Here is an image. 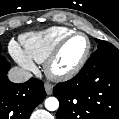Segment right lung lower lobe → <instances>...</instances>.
I'll use <instances>...</instances> for the list:
<instances>
[{"mask_svg":"<svg viewBox=\"0 0 119 119\" xmlns=\"http://www.w3.org/2000/svg\"><path fill=\"white\" fill-rule=\"evenodd\" d=\"M10 63L0 55V119H29L46 97L44 83L32 78L16 84L7 77Z\"/></svg>","mask_w":119,"mask_h":119,"instance_id":"obj_1","label":"right lung lower lobe"}]
</instances>
